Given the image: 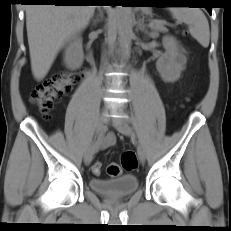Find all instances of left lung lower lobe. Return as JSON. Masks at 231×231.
I'll return each mask as SVG.
<instances>
[{
    "label": "left lung lower lobe",
    "mask_w": 231,
    "mask_h": 231,
    "mask_svg": "<svg viewBox=\"0 0 231 231\" xmlns=\"http://www.w3.org/2000/svg\"><path fill=\"white\" fill-rule=\"evenodd\" d=\"M144 2L154 3L153 0H144ZM206 9H207L208 12L211 14L212 8H211V7H206Z\"/></svg>",
    "instance_id": "0a47b994"
}]
</instances>
